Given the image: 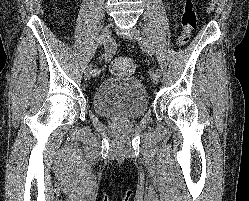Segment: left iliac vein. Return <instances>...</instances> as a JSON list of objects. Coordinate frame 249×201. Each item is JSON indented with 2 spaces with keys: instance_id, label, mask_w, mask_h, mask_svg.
I'll return each mask as SVG.
<instances>
[{
  "instance_id": "4c4485c4",
  "label": "left iliac vein",
  "mask_w": 249,
  "mask_h": 201,
  "mask_svg": "<svg viewBox=\"0 0 249 201\" xmlns=\"http://www.w3.org/2000/svg\"><path fill=\"white\" fill-rule=\"evenodd\" d=\"M128 38L133 41H140L141 38L140 32L136 29H133L132 33L129 34ZM150 78L153 83L157 84L159 82L160 75L155 70H152L150 72Z\"/></svg>"
}]
</instances>
